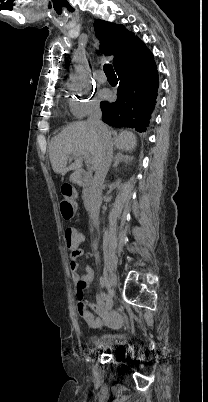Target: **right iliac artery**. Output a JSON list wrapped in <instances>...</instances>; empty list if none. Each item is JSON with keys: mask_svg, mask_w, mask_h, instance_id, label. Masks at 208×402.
<instances>
[{"mask_svg": "<svg viewBox=\"0 0 208 402\" xmlns=\"http://www.w3.org/2000/svg\"><path fill=\"white\" fill-rule=\"evenodd\" d=\"M103 299H104V301L107 303V301H108V299H109V296H108V294L107 293H103Z\"/></svg>", "mask_w": 208, "mask_h": 402, "instance_id": "82829eb1", "label": "right iliac artery"}]
</instances>
